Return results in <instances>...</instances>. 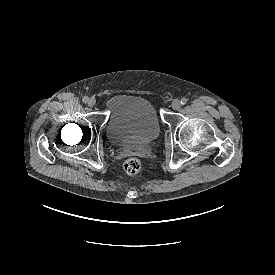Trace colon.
<instances>
[{
	"label": "colon",
	"mask_w": 275,
	"mask_h": 275,
	"mask_svg": "<svg viewBox=\"0 0 275 275\" xmlns=\"http://www.w3.org/2000/svg\"><path fill=\"white\" fill-rule=\"evenodd\" d=\"M141 168L140 160L137 157H129L123 164V169L127 175H136Z\"/></svg>",
	"instance_id": "colon-1"
}]
</instances>
